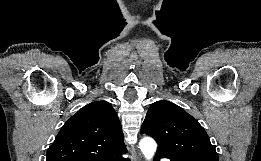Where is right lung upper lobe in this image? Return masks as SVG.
<instances>
[{"mask_svg": "<svg viewBox=\"0 0 261 161\" xmlns=\"http://www.w3.org/2000/svg\"><path fill=\"white\" fill-rule=\"evenodd\" d=\"M119 118L107 101H94L63 125L46 161H95L126 151Z\"/></svg>", "mask_w": 261, "mask_h": 161, "instance_id": "right-lung-upper-lobe-1", "label": "right lung upper lobe"}]
</instances>
